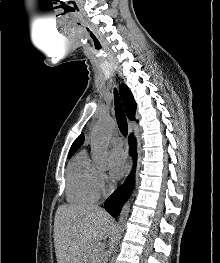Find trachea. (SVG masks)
<instances>
[{
  "label": "trachea",
  "instance_id": "trachea-1",
  "mask_svg": "<svg viewBox=\"0 0 220 263\" xmlns=\"http://www.w3.org/2000/svg\"><path fill=\"white\" fill-rule=\"evenodd\" d=\"M114 104H115V115H116L118 127L122 135L126 137L128 133L127 119L119 95L117 93V90L114 91Z\"/></svg>",
  "mask_w": 220,
  "mask_h": 263
}]
</instances>
